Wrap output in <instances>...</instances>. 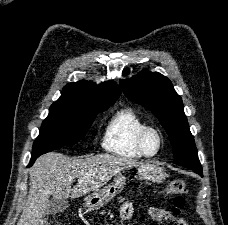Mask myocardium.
Instances as JSON below:
<instances>
[{
	"label": "myocardium",
	"instance_id": "f54148a6",
	"mask_svg": "<svg viewBox=\"0 0 228 225\" xmlns=\"http://www.w3.org/2000/svg\"><path fill=\"white\" fill-rule=\"evenodd\" d=\"M151 134H155L158 139V146L154 152H149L147 148V141ZM163 145H164V136L161 130L158 129L157 127L147 125L140 131L138 135V146L145 156L147 157L157 156L161 152Z\"/></svg>",
	"mask_w": 228,
	"mask_h": 225
}]
</instances>
